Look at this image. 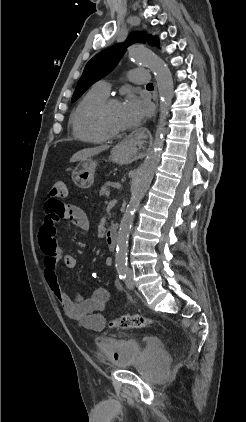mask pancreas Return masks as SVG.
<instances>
[{
	"label": "pancreas",
	"instance_id": "1",
	"mask_svg": "<svg viewBox=\"0 0 246 422\" xmlns=\"http://www.w3.org/2000/svg\"><path fill=\"white\" fill-rule=\"evenodd\" d=\"M108 191V184L107 183H105L102 187H101V189H100V191H99V195L100 196H102V195H104V194H106V192Z\"/></svg>",
	"mask_w": 246,
	"mask_h": 422
}]
</instances>
